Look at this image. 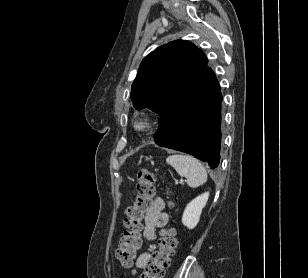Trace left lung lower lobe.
Segmentation results:
<instances>
[{
    "mask_svg": "<svg viewBox=\"0 0 308 278\" xmlns=\"http://www.w3.org/2000/svg\"><path fill=\"white\" fill-rule=\"evenodd\" d=\"M221 101L219 82L206 67L161 113L155 143L191 154L216 168L221 148Z\"/></svg>",
    "mask_w": 308,
    "mask_h": 278,
    "instance_id": "obj_1",
    "label": "left lung lower lobe"
}]
</instances>
